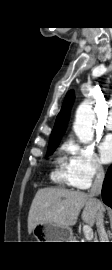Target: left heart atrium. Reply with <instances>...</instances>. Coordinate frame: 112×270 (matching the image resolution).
I'll use <instances>...</instances> for the list:
<instances>
[{
  "instance_id": "obj_1",
  "label": "left heart atrium",
  "mask_w": 112,
  "mask_h": 270,
  "mask_svg": "<svg viewBox=\"0 0 112 270\" xmlns=\"http://www.w3.org/2000/svg\"><path fill=\"white\" fill-rule=\"evenodd\" d=\"M102 160L105 163L112 161V136H107L99 146Z\"/></svg>"
}]
</instances>
